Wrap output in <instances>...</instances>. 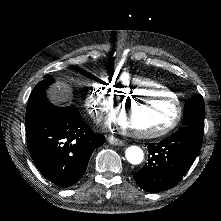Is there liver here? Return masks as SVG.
<instances>
[{"instance_id":"6515ba94","label":"liver","mask_w":221,"mask_h":221,"mask_svg":"<svg viewBox=\"0 0 221 221\" xmlns=\"http://www.w3.org/2000/svg\"><path fill=\"white\" fill-rule=\"evenodd\" d=\"M73 91L70 83L55 79L52 84H49L46 89L48 100L54 104H60L67 101L66 95Z\"/></svg>"}]
</instances>
